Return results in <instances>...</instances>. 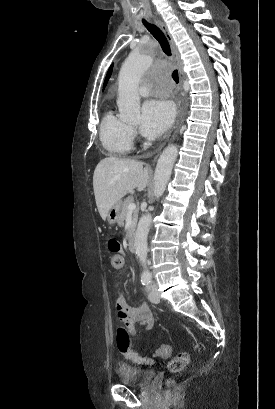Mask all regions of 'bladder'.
<instances>
[{
  "mask_svg": "<svg viewBox=\"0 0 275 409\" xmlns=\"http://www.w3.org/2000/svg\"><path fill=\"white\" fill-rule=\"evenodd\" d=\"M158 372L128 363H121L117 369V379L120 384L135 387L150 386Z\"/></svg>",
  "mask_w": 275,
  "mask_h": 409,
  "instance_id": "31cf9c89",
  "label": "bladder"
}]
</instances>
